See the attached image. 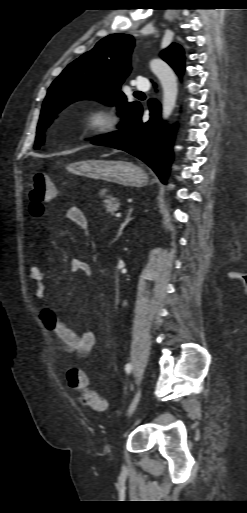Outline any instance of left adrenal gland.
<instances>
[{"label": "left adrenal gland", "mask_w": 247, "mask_h": 513, "mask_svg": "<svg viewBox=\"0 0 247 513\" xmlns=\"http://www.w3.org/2000/svg\"><path fill=\"white\" fill-rule=\"evenodd\" d=\"M132 212H133V208H130L128 210V213H127V216H126L124 222L120 225V228L118 230V233L116 235L115 240H118L120 238V236L122 235V232H123L125 226L133 219V218H131Z\"/></svg>", "instance_id": "1"}]
</instances>
